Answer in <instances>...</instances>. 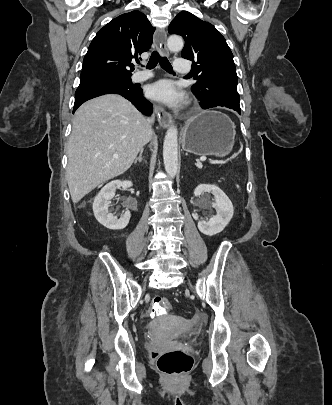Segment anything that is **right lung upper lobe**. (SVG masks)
<instances>
[{
    "label": "right lung upper lobe",
    "instance_id": "right-lung-upper-lobe-1",
    "mask_svg": "<svg viewBox=\"0 0 332 405\" xmlns=\"http://www.w3.org/2000/svg\"><path fill=\"white\" fill-rule=\"evenodd\" d=\"M153 33L154 28L149 20L139 11L116 17L101 28L92 40L80 76H131L130 61L149 50Z\"/></svg>",
    "mask_w": 332,
    "mask_h": 405
}]
</instances>
